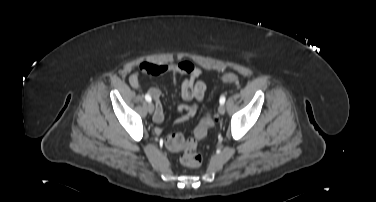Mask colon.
<instances>
[{"label": "colon", "instance_id": "obj_1", "mask_svg": "<svg viewBox=\"0 0 376 202\" xmlns=\"http://www.w3.org/2000/svg\"><path fill=\"white\" fill-rule=\"evenodd\" d=\"M224 82L239 85L240 77L235 73H227L222 77ZM213 125V118L204 116L193 133L184 136L180 133H171L165 136L166 147L171 151H181V162L184 166L194 168L202 163V157L198 152V140L204 137Z\"/></svg>", "mask_w": 376, "mask_h": 202}]
</instances>
